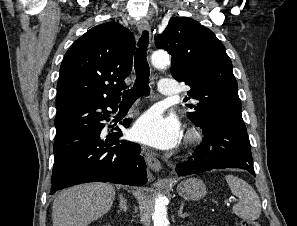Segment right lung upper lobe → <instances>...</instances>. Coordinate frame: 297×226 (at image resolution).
<instances>
[{"label":"right lung upper lobe","mask_w":297,"mask_h":226,"mask_svg":"<svg viewBox=\"0 0 297 226\" xmlns=\"http://www.w3.org/2000/svg\"><path fill=\"white\" fill-rule=\"evenodd\" d=\"M135 49L133 34L119 23H104L88 30L63 58L57 110L83 102H119Z\"/></svg>","instance_id":"obj_1"}]
</instances>
